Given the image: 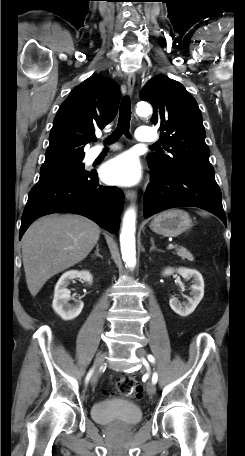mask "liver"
<instances>
[{"mask_svg":"<svg viewBox=\"0 0 245 456\" xmlns=\"http://www.w3.org/2000/svg\"><path fill=\"white\" fill-rule=\"evenodd\" d=\"M100 228L86 217L48 215L35 221L22 238L26 283L36 296L48 279L87 257Z\"/></svg>","mask_w":245,"mask_h":456,"instance_id":"6515ba94","label":"liver"}]
</instances>
